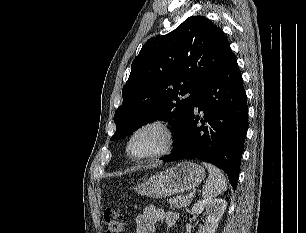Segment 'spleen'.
<instances>
[{
	"instance_id": "obj_1",
	"label": "spleen",
	"mask_w": 306,
	"mask_h": 233,
	"mask_svg": "<svg viewBox=\"0 0 306 233\" xmlns=\"http://www.w3.org/2000/svg\"><path fill=\"white\" fill-rule=\"evenodd\" d=\"M209 171V177L203 188L202 196L212 199L227 190V183L224 174L215 166L206 162L202 163Z\"/></svg>"
}]
</instances>
